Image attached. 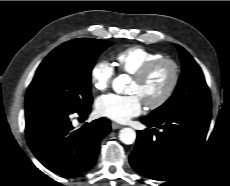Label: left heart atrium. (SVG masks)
<instances>
[{"label": "left heart atrium", "mask_w": 230, "mask_h": 186, "mask_svg": "<svg viewBox=\"0 0 230 186\" xmlns=\"http://www.w3.org/2000/svg\"><path fill=\"white\" fill-rule=\"evenodd\" d=\"M143 104L136 94L121 96L117 94H107L101 96L96 103L97 112L113 121L124 123L132 117L139 115Z\"/></svg>", "instance_id": "1"}]
</instances>
